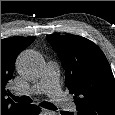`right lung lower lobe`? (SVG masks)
Returning <instances> with one entry per match:
<instances>
[{
  "label": "right lung lower lobe",
  "instance_id": "right-lung-lower-lobe-1",
  "mask_svg": "<svg viewBox=\"0 0 115 115\" xmlns=\"http://www.w3.org/2000/svg\"><path fill=\"white\" fill-rule=\"evenodd\" d=\"M40 113V107L36 105H25L22 111L17 115H37Z\"/></svg>",
  "mask_w": 115,
  "mask_h": 115
}]
</instances>
